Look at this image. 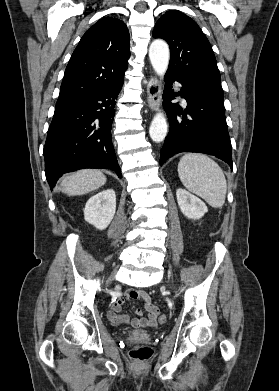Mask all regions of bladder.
<instances>
[{
  "label": "bladder",
  "instance_id": "obj_1",
  "mask_svg": "<svg viewBox=\"0 0 279 391\" xmlns=\"http://www.w3.org/2000/svg\"><path fill=\"white\" fill-rule=\"evenodd\" d=\"M126 334L136 340H144L149 337L150 332H147V331H128V332H126Z\"/></svg>",
  "mask_w": 279,
  "mask_h": 391
}]
</instances>
